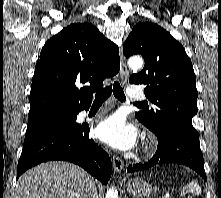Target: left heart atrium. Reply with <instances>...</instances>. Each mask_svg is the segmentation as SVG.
Segmentation results:
<instances>
[{
  "instance_id": "39dd6f15",
  "label": "left heart atrium",
  "mask_w": 221,
  "mask_h": 198,
  "mask_svg": "<svg viewBox=\"0 0 221 198\" xmlns=\"http://www.w3.org/2000/svg\"><path fill=\"white\" fill-rule=\"evenodd\" d=\"M96 136L117 150H128L137 141L136 128L128 124L125 118L119 114L103 120L96 128Z\"/></svg>"
}]
</instances>
